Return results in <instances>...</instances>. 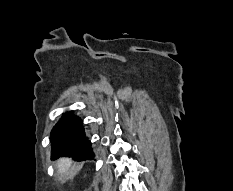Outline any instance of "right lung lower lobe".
<instances>
[{
    "label": "right lung lower lobe",
    "instance_id": "98d812e1",
    "mask_svg": "<svg viewBox=\"0 0 233 191\" xmlns=\"http://www.w3.org/2000/svg\"><path fill=\"white\" fill-rule=\"evenodd\" d=\"M82 120L72 113H65L51 132L52 156L73 157L76 161L93 159L91 142L85 137Z\"/></svg>",
    "mask_w": 233,
    "mask_h": 191
}]
</instances>
